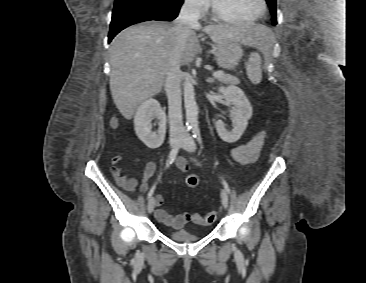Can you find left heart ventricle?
Listing matches in <instances>:
<instances>
[{"label":"left heart ventricle","instance_id":"obj_1","mask_svg":"<svg viewBox=\"0 0 366 283\" xmlns=\"http://www.w3.org/2000/svg\"><path fill=\"white\" fill-rule=\"evenodd\" d=\"M217 8L233 18L250 19L260 11L259 0H214Z\"/></svg>","mask_w":366,"mask_h":283}]
</instances>
